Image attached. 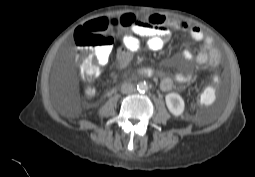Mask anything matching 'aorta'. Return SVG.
<instances>
[{
    "mask_svg": "<svg viewBox=\"0 0 255 177\" xmlns=\"http://www.w3.org/2000/svg\"><path fill=\"white\" fill-rule=\"evenodd\" d=\"M137 89H138V91H140V92H145V91L148 90V85H147V83H145V82H140V83L137 85Z\"/></svg>",
    "mask_w": 255,
    "mask_h": 177,
    "instance_id": "obj_1",
    "label": "aorta"
}]
</instances>
